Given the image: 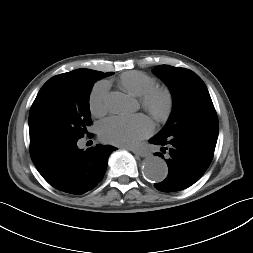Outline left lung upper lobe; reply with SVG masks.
<instances>
[{
    "label": "left lung upper lobe",
    "instance_id": "obj_1",
    "mask_svg": "<svg viewBox=\"0 0 253 253\" xmlns=\"http://www.w3.org/2000/svg\"><path fill=\"white\" fill-rule=\"evenodd\" d=\"M154 73L168 85L174 102L172 114L157 136L168 137L200 127L218 134L215 108L206 85L197 74L169 65L157 66Z\"/></svg>",
    "mask_w": 253,
    "mask_h": 253
}]
</instances>
